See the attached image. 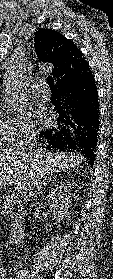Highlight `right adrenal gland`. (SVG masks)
<instances>
[{
    "instance_id": "1",
    "label": "right adrenal gland",
    "mask_w": 113,
    "mask_h": 279,
    "mask_svg": "<svg viewBox=\"0 0 113 279\" xmlns=\"http://www.w3.org/2000/svg\"><path fill=\"white\" fill-rule=\"evenodd\" d=\"M51 179V175H46L43 180H39L38 184L36 185L37 187V192H36V195H35V199H37V197L39 196V194L41 193V189L43 188V186L46 185L47 182H49Z\"/></svg>"
}]
</instances>
